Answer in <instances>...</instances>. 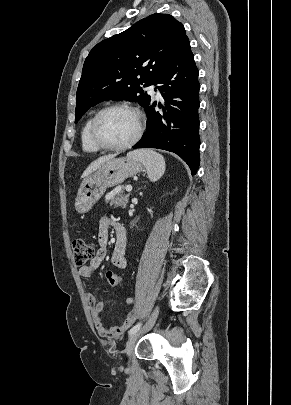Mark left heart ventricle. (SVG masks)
Wrapping results in <instances>:
<instances>
[{
    "mask_svg": "<svg viewBox=\"0 0 291 405\" xmlns=\"http://www.w3.org/2000/svg\"><path fill=\"white\" fill-rule=\"evenodd\" d=\"M137 131V118L134 113L115 109L105 113L98 124V135L102 141L111 145L128 142Z\"/></svg>",
    "mask_w": 291,
    "mask_h": 405,
    "instance_id": "b2bd125f",
    "label": "left heart ventricle"
}]
</instances>
